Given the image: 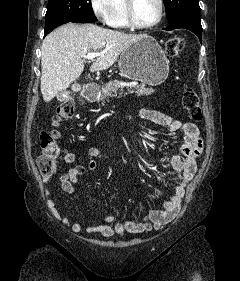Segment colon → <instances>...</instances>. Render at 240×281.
Instances as JSON below:
<instances>
[{
  "mask_svg": "<svg viewBox=\"0 0 240 281\" xmlns=\"http://www.w3.org/2000/svg\"><path fill=\"white\" fill-rule=\"evenodd\" d=\"M183 49L184 41L180 36H173L166 42V51L171 57L179 55ZM182 106L194 121H201L203 119L199 97L195 89L187 88L184 91ZM74 112V102L71 99H67L57 107L53 121L58 124L61 121L69 120L74 116ZM39 143L42 155L39 157L38 166L43 175L52 174L56 169V161L61 151L58 144V132L42 131L39 135Z\"/></svg>",
  "mask_w": 240,
  "mask_h": 281,
  "instance_id": "5ec220e1",
  "label": "colon"
}]
</instances>
